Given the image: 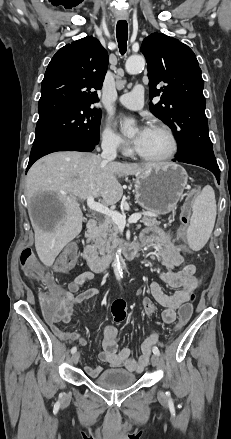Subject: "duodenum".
Returning <instances> with one entry per match:
<instances>
[{
  "mask_svg": "<svg viewBox=\"0 0 231 439\" xmlns=\"http://www.w3.org/2000/svg\"><path fill=\"white\" fill-rule=\"evenodd\" d=\"M97 227L98 221L96 219H90L87 222L88 235L92 236L96 232ZM139 251L140 244L137 242L116 246L103 254H99L97 249L92 244H87L84 248L83 255L89 267L94 272H102L109 266L115 254L119 253L127 259H134L138 256Z\"/></svg>",
  "mask_w": 231,
  "mask_h": 439,
  "instance_id": "1",
  "label": "duodenum"
}]
</instances>
